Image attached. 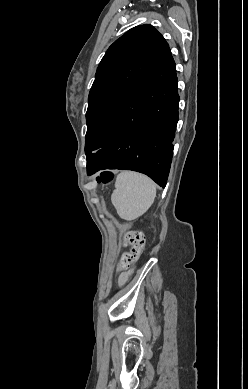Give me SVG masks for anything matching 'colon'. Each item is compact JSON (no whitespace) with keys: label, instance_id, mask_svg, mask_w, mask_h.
Masks as SVG:
<instances>
[{"label":"colon","instance_id":"colon-1","mask_svg":"<svg viewBox=\"0 0 248 389\" xmlns=\"http://www.w3.org/2000/svg\"><path fill=\"white\" fill-rule=\"evenodd\" d=\"M112 178L113 174L111 172H102L98 176V180L101 183H108ZM125 242L131 245V249L122 254L116 268L118 272L129 269L132 263L140 256L145 245V237L140 231H129L125 234Z\"/></svg>","mask_w":248,"mask_h":389}]
</instances>
